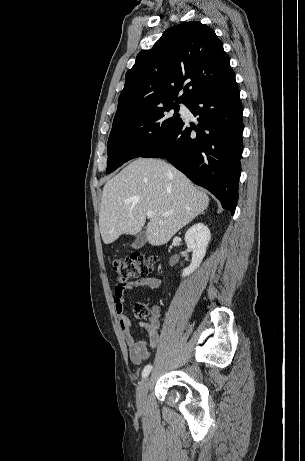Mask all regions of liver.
Instances as JSON below:
<instances>
[{
	"instance_id": "1",
	"label": "liver",
	"mask_w": 305,
	"mask_h": 461,
	"mask_svg": "<svg viewBox=\"0 0 305 461\" xmlns=\"http://www.w3.org/2000/svg\"><path fill=\"white\" fill-rule=\"evenodd\" d=\"M209 197L165 161L138 158L103 188L99 228L105 244L122 234H138L147 211H154L146 227L151 245L167 243L181 228L203 213ZM166 213L169 215L163 216Z\"/></svg>"
}]
</instances>
